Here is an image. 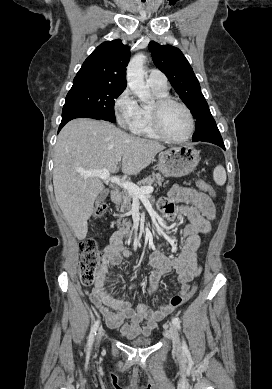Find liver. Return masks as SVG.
I'll list each match as a JSON object with an SVG mask.
<instances>
[{"mask_svg":"<svg viewBox=\"0 0 272 389\" xmlns=\"http://www.w3.org/2000/svg\"><path fill=\"white\" fill-rule=\"evenodd\" d=\"M164 149L158 142L129 135L105 121L80 118L63 127L54 148V193L79 240L85 239L94 201L104 190L99 178L80 172L119 171L122 161V172L136 175Z\"/></svg>","mask_w":272,"mask_h":389,"instance_id":"obj_1","label":"liver"}]
</instances>
